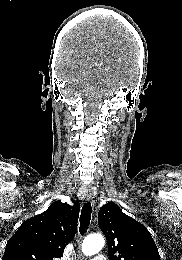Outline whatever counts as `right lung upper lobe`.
Masks as SVG:
<instances>
[{
    "label": "right lung upper lobe",
    "mask_w": 182,
    "mask_h": 260,
    "mask_svg": "<svg viewBox=\"0 0 182 260\" xmlns=\"http://www.w3.org/2000/svg\"><path fill=\"white\" fill-rule=\"evenodd\" d=\"M80 204L52 203L46 211L21 224L9 239L2 260H56L73 240Z\"/></svg>",
    "instance_id": "cb5924a9"
}]
</instances>
